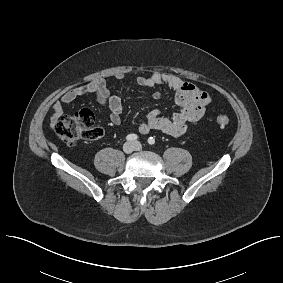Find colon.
<instances>
[{
	"mask_svg": "<svg viewBox=\"0 0 283 283\" xmlns=\"http://www.w3.org/2000/svg\"><path fill=\"white\" fill-rule=\"evenodd\" d=\"M216 123L227 126L230 118L223 114L218 115ZM54 128L59 139L67 146L75 145L80 139L95 140L103 134L102 129L95 124L93 113L89 110L60 117L55 122Z\"/></svg>",
	"mask_w": 283,
	"mask_h": 283,
	"instance_id": "1",
	"label": "colon"
}]
</instances>
